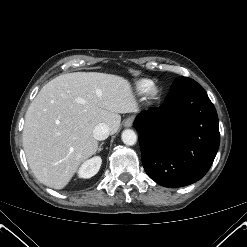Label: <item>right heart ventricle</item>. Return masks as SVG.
Instances as JSON below:
<instances>
[{
	"mask_svg": "<svg viewBox=\"0 0 247 247\" xmlns=\"http://www.w3.org/2000/svg\"><path fill=\"white\" fill-rule=\"evenodd\" d=\"M151 84L150 80L142 79L136 82L135 87L139 93H143L150 88Z\"/></svg>",
	"mask_w": 247,
	"mask_h": 247,
	"instance_id": "right-heart-ventricle-1",
	"label": "right heart ventricle"
}]
</instances>
